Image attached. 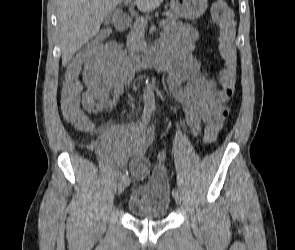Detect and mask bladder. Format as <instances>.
<instances>
[{"label":"bladder","instance_id":"bladder-1","mask_svg":"<svg viewBox=\"0 0 295 250\" xmlns=\"http://www.w3.org/2000/svg\"><path fill=\"white\" fill-rule=\"evenodd\" d=\"M170 200L168 179L163 169L157 167L143 183L131 190L127 210L138 219L160 220L167 216Z\"/></svg>","mask_w":295,"mask_h":250}]
</instances>
